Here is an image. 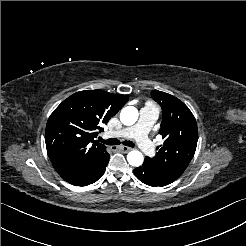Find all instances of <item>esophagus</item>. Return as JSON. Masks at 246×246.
I'll use <instances>...</instances> for the list:
<instances>
[{
  "label": "esophagus",
  "mask_w": 246,
  "mask_h": 246,
  "mask_svg": "<svg viewBox=\"0 0 246 246\" xmlns=\"http://www.w3.org/2000/svg\"><path fill=\"white\" fill-rule=\"evenodd\" d=\"M118 150L121 151L122 153H127V152L131 151L132 148L127 147V146H120V147L118 148Z\"/></svg>",
  "instance_id": "esophagus-1"
}]
</instances>
